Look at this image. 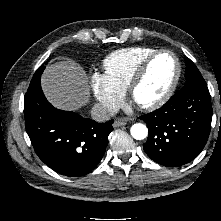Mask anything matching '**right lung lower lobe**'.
<instances>
[{
  "label": "right lung lower lobe",
  "mask_w": 221,
  "mask_h": 221,
  "mask_svg": "<svg viewBox=\"0 0 221 221\" xmlns=\"http://www.w3.org/2000/svg\"><path fill=\"white\" fill-rule=\"evenodd\" d=\"M26 130L39 158L66 176H83L102 159L110 120L97 123L77 113L55 109L45 98L40 76L33 77L24 99Z\"/></svg>",
  "instance_id": "1"
}]
</instances>
